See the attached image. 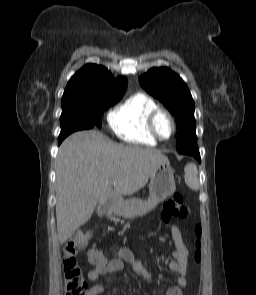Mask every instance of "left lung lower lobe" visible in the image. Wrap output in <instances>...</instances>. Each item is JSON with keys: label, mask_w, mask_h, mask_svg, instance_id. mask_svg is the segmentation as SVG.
I'll return each instance as SVG.
<instances>
[{"label": "left lung lower lobe", "mask_w": 256, "mask_h": 295, "mask_svg": "<svg viewBox=\"0 0 256 295\" xmlns=\"http://www.w3.org/2000/svg\"><path fill=\"white\" fill-rule=\"evenodd\" d=\"M186 154L192 155L194 158H196L198 160L199 163L201 162L198 148L188 149Z\"/></svg>", "instance_id": "1"}]
</instances>
